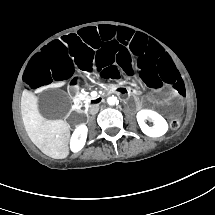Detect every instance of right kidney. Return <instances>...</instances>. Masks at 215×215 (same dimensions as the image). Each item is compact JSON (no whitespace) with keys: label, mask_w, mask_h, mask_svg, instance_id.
Returning <instances> with one entry per match:
<instances>
[{"label":"right kidney","mask_w":215,"mask_h":215,"mask_svg":"<svg viewBox=\"0 0 215 215\" xmlns=\"http://www.w3.org/2000/svg\"><path fill=\"white\" fill-rule=\"evenodd\" d=\"M87 136V127L80 125L72 135L71 138V149L74 152L79 151L85 144Z\"/></svg>","instance_id":"ca27d5eb"}]
</instances>
